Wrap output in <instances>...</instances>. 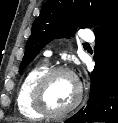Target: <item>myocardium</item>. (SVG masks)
<instances>
[{
    "mask_svg": "<svg viewBox=\"0 0 118 123\" xmlns=\"http://www.w3.org/2000/svg\"><path fill=\"white\" fill-rule=\"evenodd\" d=\"M61 73H66L72 77L76 83L77 94L74 101L69 106L62 110H56L49 106L46 100V92L52 78ZM82 98L83 87L76 74L68 67L56 66L48 68L38 79L34 88L33 104L35 109L42 113L44 116L51 118H60L72 112L80 104Z\"/></svg>",
    "mask_w": 118,
    "mask_h": 123,
    "instance_id": "obj_1",
    "label": "myocardium"
}]
</instances>
